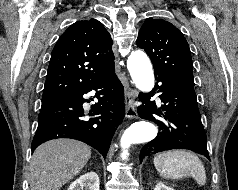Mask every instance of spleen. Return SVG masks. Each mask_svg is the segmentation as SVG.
I'll list each match as a JSON object with an SVG mask.
<instances>
[{"mask_svg": "<svg viewBox=\"0 0 238 190\" xmlns=\"http://www.w3.org/2000/svg\"><path fill=\"white\" fill-rule=\"evenodd\" d=\"M154 166L165 179L193 177L203 186L206 183V172L197 155L185 150H173L160 153L154 157Z\"/></svg>", "mask_w": 238, "mask_h": 190, "instance_id": "obj_1", "label": "spleen"}]
</instances>
